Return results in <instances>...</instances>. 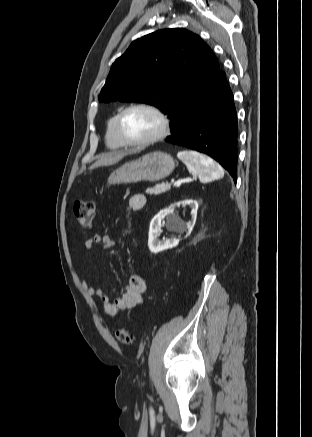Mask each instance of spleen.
Returning <instances> with one entry per match:
<instances>
[{"mask_svg":"<svg viewBox=\"0 0 312 437\" xmlns=\"http://www.w3.org/2000/svg\"><path fill=\"white\" fill-rule=\"evenodd\" d=\"M178 158L187 166L188 171L198 176L201 182H209L222 178L224 171L212 158L189 150L181 151L177 154Z\"/></svg>","mask_w":312,"mask_h":437,"instance_id":"spleen-1","label":"spleen"}]
</instances>
